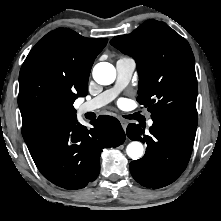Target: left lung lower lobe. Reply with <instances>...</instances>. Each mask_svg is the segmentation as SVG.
Returning <instances> with one entry per match:
<instances>
[{"instance_id": "left-lung-lower-lobe-1", "label": "left lung lower lobe", "mask_w": 221, "mask_h": 221, "mask_svg": "<svg viewBox=\"0 0 221 221\" xmlns=\"http://www.w3.org/2000/svg\"><path fill=\"white\" fill-rule=\"evenodd\" d=\"M149 135L140 125L130 124L127 136L147 144L143 158L130 163L133 178L148 188H161L174 182L190 159L197 125L153 115Z\"/></svg>"}]
</instances>
